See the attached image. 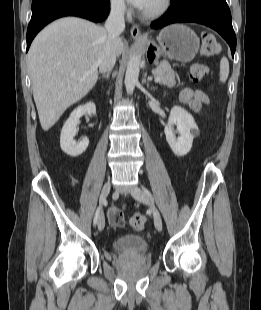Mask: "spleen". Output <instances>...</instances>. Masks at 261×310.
Returning <instances> with one entry per match:
<instances>
[{"mask_svg": "<svg viewBox=\"0 0 261 310\" xmlns=\"http://www.w3.org/2000/svg\"><path fill=\"white\" fill-rule=\"evenodd\" d=\"M229 75V62L227 58H222L220 62L219 80L225 83Z\"/></svg>", "mask_w": 261, "mask_h": 310, "instance_id": "obj_1", "label": "spleen"}]
</instances>
